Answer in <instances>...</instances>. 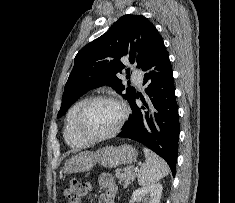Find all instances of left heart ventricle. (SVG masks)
<instances>
[{"label":"left heart ventricle","instance_id":"obj_1","mask_svg":"<svg viewBox=\"0 0 235 203\" xmlns=\"http://www.w3.org/2000/svg\"><path fill=\"white\" fill-rule=\"evenodd\" d=\"M121 117V108L110 101H100L86 111L81 128L91 136L104 135L112 131Z\"/></svg>","mask_w":235,"mask_h":203}]
</instances>
